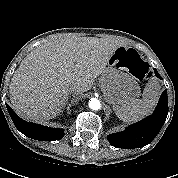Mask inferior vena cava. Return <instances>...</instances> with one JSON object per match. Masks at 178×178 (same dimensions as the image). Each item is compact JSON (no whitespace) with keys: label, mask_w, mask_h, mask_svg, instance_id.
Instances as JSON below:
<instances>
[{"label":"inferior vena cava","mask_w":178,"mask_h":178,"mask_svg":"<svg viewBox=\"0 0 178 178\" xmlns=\"http://www.w3.org/2000/svg\"><path fill=\"white\" fill-rule=\"evenodd\" d=\"M72 91H73V92H77V91H78V88H77V87H74V88L72 89Z\"/></svg>","instance_id":"obj_1"}]
</instances>
